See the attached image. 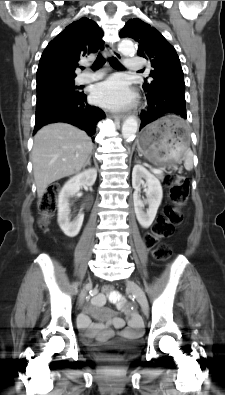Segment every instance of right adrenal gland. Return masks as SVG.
Instances as JSON below:
<instances>
[{
    "label": "right adrenal gland",
    "instance_id": "2a0ac1e0",
    "mask_svg": "<svg viewBox=\"0 0 225 395\" xmlns=\"http://www.w3.org/2000/svg\"><path fill=\"white\" fill-rule=\"evenodd\" d=\"M90 159H91V155L89 156V158H88V160H87V162H86V165H91Z\"/></svg>",
    "mask_w": 225,
    "mask_h": 395
}]
</instances>
